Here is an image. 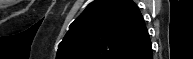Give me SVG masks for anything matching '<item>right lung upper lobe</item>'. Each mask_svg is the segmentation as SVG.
I'll use <instances>...</instances> for the list:
<instances>
[{"label":"right lung upper lobe","mask_w":193,"mask_h":59,"mask_svg":"<svg viewBox=\"0 0 193 59\" xmlns=\"http://www.w3.org/2000/svg\"><path fill=\"white\" fill-rule=\"evenodd\" d=\"M148 42L132 0H96L70 25L56 59H126Z\"/></svg>","instance_id":"obj_1"}]
</instances>
